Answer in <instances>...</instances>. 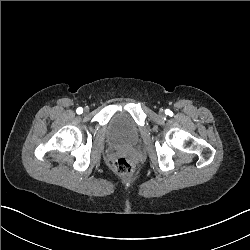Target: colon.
<instances>
[{"instance_id":"5ec220e1","label":"colon","mask_w":250,"mask_h":250,"mask_svg":"<svg viewBox=\"0 0 250 250\" xmlns=\"http://www.w3.org/2000/svg\"><path fill=\"white\" fill-rule=\"evenodd\" d=\"M114 170L123 178H128L136 169V164L133 160L125 155H120L116 158L114 163Z\"/></svg>"}]
</instances>
